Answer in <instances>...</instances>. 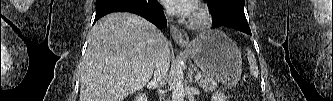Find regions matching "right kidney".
Returning <instances> with one entry per match:
<instances>
[{"label":"right kidney","instance_id":"right-kidney-1","mask_svg":"<svg viewBox=\"0 0 333 101\" xmlns=\"http://www.w3.org/2000/svg\"><path fill=\"white\" fill-rule=\"evenodd\" d=\"M135 100L136 101H147V96L145 94L140 93L139 95H137Z\"/></svg>","mask_w":333,"mask_h":101}]
</instances>
